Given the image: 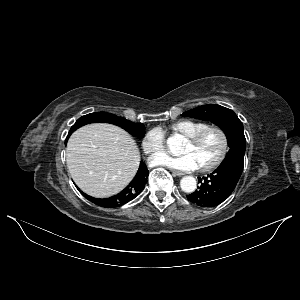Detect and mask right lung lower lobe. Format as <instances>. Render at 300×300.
Segmentation results:
<instances>
[{"mask_svg":"<svg viewBox=\"0 0 300 300\" xmlns=\"http://www.w3.org/2000/svg\"><path fill=\"white\" fill-rule=\"evenodd\" d=\"M148 173L149 171L147 170L146 165L143 162H141L139 170L134 179L131 181V183L123 191L109 198L98 199L88 196L83 192L81 193L86 199L101 207H119L133 200L142 192L147 182Z\"/></svg>","mask_w":300,"mask_h":300,"instance_id":"right-lung-lower-lobe-1","label":"right lung lower lobe"}]
</instances>
